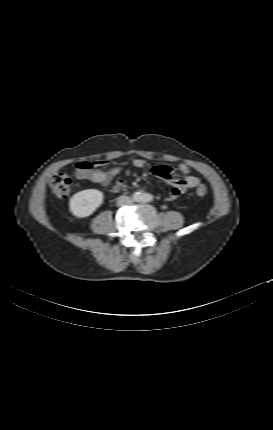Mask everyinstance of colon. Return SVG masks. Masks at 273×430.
Segmentation results:
<instances>
[{"label": "colon", "mask_w": 273, "mask_h": 430, "mask_svg": "<svg viewBox=\"0 0 273 430\" xmlns=\"http://www.w3.org/2000/svg\"><path fill=\"white\" fill-rule=\"evenodd\" d=\"M73 183L74 179L70 174L58 173L52 178L50 187L55 196L63 198L70 193ZM207 192L208 188L205 184H199L196 187V195L199 197L205 196Z\"/></svg>", "instance_id": "colon-1"}]
</instances>
